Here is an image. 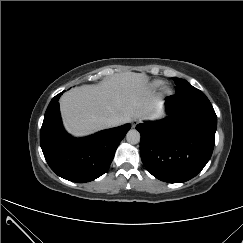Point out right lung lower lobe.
Here are the masks:
<instances>
[{"label": "right lung lower lobe", "instance_id": "right-lung-lower-lobe-1", "mask_svg": "<svg viewBox=\"0 0 243 243\" xmlns=\"http://www.w3.org/2000/svg\"><path fill=\"white\" fill-rule=\"evenodd\" d=\"M62 94L56 95L46 110L40 145L48 165L58 176L77 183L89 182L107 171L130 124L86 138H73L62 127L58 104Z\"/></svg>", "mask_w": 243, "mask_h": 243}]
</instances>
